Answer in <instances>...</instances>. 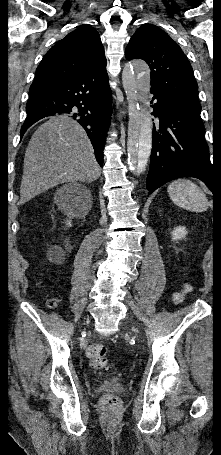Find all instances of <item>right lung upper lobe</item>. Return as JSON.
I'll return each mask as SVG.
<instances>
[{"mask_svg": "<svg viewBox=\"0 0 221 455\" xmlns=\"http://www.w3.org/2000/svg\"><path fill=\"white\" fill-rule=\"evenodd\" d=\"M99 64H106L98 32L84 24L57 42L36 70L29 95L38 94L56 82Z\"/></svg>", "mask_w": 221, "mask_h": 455, "instance_id": "cb5924a9", "label": "right lung upper lobe"}]
</instances>
